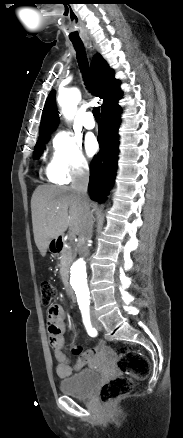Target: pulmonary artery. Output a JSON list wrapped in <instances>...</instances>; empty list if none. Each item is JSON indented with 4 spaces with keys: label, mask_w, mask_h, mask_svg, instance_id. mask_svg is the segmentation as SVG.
Returning a JSON list of instances; mask_svg holds the SVG:
<instances>
[{
    "label": "pulmonary artery",
    "mask_w": 183,
    "mask_h": 438,
    "mask_svg": "<svg viewBox=\"0 0 183 438\" xmlns=\"http://www.w3.org/2000/svg\"><path fill=\"white\" fill-rule=\"evenodd\" d=\"M83 125L87 129H93L95 127V121L93 119L92 112L88 111L84 114Z\"/></svg>",
    "instance_id": "pulmonary-artery-1"
}]
</instances>
